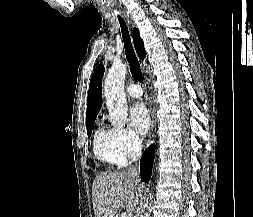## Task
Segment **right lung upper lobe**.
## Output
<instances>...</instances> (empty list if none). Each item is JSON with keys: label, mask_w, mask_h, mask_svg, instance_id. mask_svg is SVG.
<instances>
[{"label": "right lung upper lobe", "mask_w": 253, "mask_h": 217, "mask_svg": "<svg viewBox=\"0 0 253 217\" xmlns=\"http://www.w3.org/2000/svg\"><path fill=\"white\" fill-rule=\"evenodd\" d=\"M133 41L136 52L140 59H144L146 56V51L144 49L143 40L140 37L138 29H133ZM104 74V66L99 65L89 84V93L87 99V112H86V122H90L96 119L102 106V78Z\"/></svg>", "instance_id": "1"}]
</instances>
